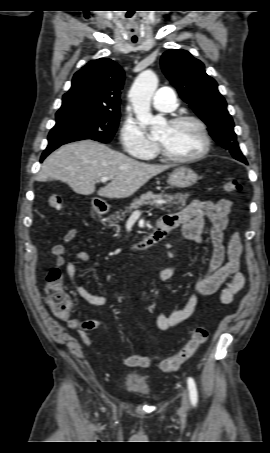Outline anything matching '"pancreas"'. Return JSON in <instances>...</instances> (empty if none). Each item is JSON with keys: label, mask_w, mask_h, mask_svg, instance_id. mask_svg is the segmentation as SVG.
<instances>
[{"label": "pancreas", "mask_w": 270, "mask_h": 453, "mask_svg": "<svg viewBox=\"0 0 270 453\" xmlns=\"http://www.w3.org/2000/svg\"><path fill=\"white\" fill-rule=\"evenodd\" d=\"M189 197V194L183 193H176L174 195L169 194H154L153 192H147L142 194L140 198H136L130 204V206L126 207L124 210H120L115 212L108 217L110 225L116 226L119 230L120 226L118 225L121 221H124L126 214L131 213L133 210L139 209L142 206L148 205L151 207L158 208L160 210H165L166 208H172L176 206L178 209H181L183 206L186 205V201ZM157 200H166L168 203L164 207L158 204Z\"/></svg>", "instance_id": "cf45deb5"}]
</instances>
